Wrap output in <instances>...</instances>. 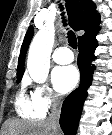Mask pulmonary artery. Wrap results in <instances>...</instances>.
Here are the masks:
<instances>
[{
	"mask_svg": "<svg viewBox=\"0 0 112 135\" xmlns=\"http://www.w3.org/2000/svg\"><path fill=\"white\" fill-rule=\"evenodd\" d=\"M52 58L57 64H68L74 60V55L67 47H59L54 51Z\"/></svg>",
	"mask_w": 112,
	"mask_h": 135,
	"instance_id": "pulmonary-artery-1",
	"label": "pulmonary artery"
}]
</instances>
